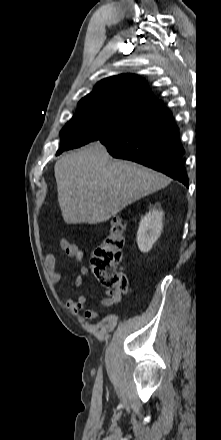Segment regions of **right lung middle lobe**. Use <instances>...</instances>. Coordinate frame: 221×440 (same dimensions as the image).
<instances>
[{
    "mask_svg": "<svg viewBox=\"0 0 221 440\" xmlns=\"http://www.w3.org/2000/svg\"><path fill=\"white\" fill-rule=\"evenodd\" d=\"M134 113L107 101L79 102L76 114L60 133L62 145L56 155L100 139Z\"/></svg>",
    "mask_w": 221,
    "mask_h": 440,
    "instance_id": "1",
    "label": "right lung middle lobe"
}]
</instances>
